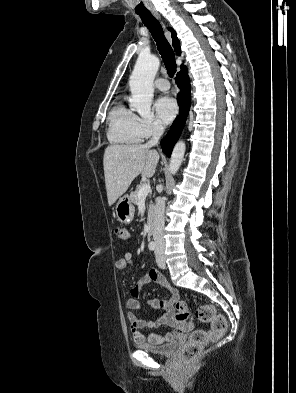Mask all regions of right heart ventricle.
Returning a JSON list of instances; mask_svg holds the SVG:
<instances>
[{
  "mask_svg": "<svg viewBox=\"0 0 296 393\" xmlns=\"http://www.w3.org/2000/svg\"><path fill=\"white\" fill-rule=\"evenodd\" d=\"M139 125L140 118L124 104H119L109 116L108 139L117 144H137L142 140Z\"/></svg>",
  "mask_w": 296,
  "mask_h": 393,
  "instance_id": "e07e8e85",
  "label": "right heart ventricle"
}]
</instances>
